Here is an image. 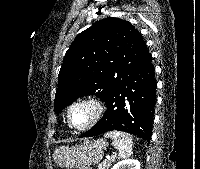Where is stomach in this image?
I'll list each match as a JSON object with an SVG mask.
<instances>
[{
  "instance_id": "0dacf381",
  "label": "stomach",
  "mask_w": 200,
  "mask_h": 169,
  "mask_svg": "<svg viewBox=\"0 0 200 169\" xmlns=\"http://www.w3.org/2000/svg\"><path fill=\"white\" fill-rule=\"evenodd\" d=\"M103 139L86 141L76 146H64L55 150L53 160L64 169H75L79 166L97 164L103 158L107 148Z\"/></svg>"
}]
</instances>
